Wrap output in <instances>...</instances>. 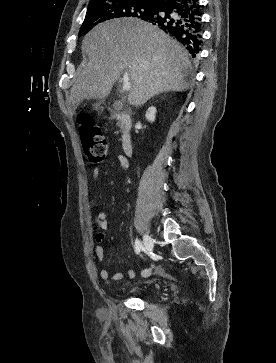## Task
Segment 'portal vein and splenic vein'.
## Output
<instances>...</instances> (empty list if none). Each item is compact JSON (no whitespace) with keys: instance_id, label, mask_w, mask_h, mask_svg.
Returning a JSON list of instances; mask_svg holds the SVG:
<instances>
[{"instance_id":"portal-vein-and-splenic-vein-1","label":"portal vein and splenic vein","mask_w":276,"mask_h":363,"mask_svg":"<svg viewBox=\"0 0 276 363\" xmlns=\"http://www.w3.org/2000/svg\"><path fill=\"white\" fill-rule=\"evenodd\" d=\"M130 88H131V84L129 82V77H128V75H124L123 76V90L128 91V90H130Z\"/></svg>"}]
</instances>
